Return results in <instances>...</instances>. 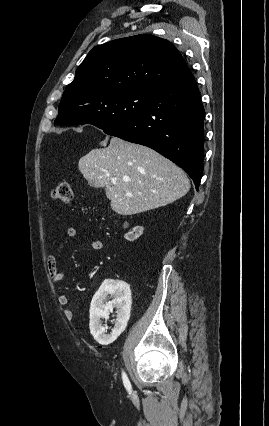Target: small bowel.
<instances>
[{
    "instance_id": "c3829d8e",
    "label": "small bowel",
    "mask_w": 269,
    "mask_h": 426,
    "mask_svg": "<svg viewBox=\"0 0 269 426\" xmlns=\"http://www.w3.org/2000/svg\"><path fill=\"white\" fill-rule=\"evenodd\" d=\"M67 235L70 238H75L77 236V229L74 228V227H69L67 229ZM90 247L93 250H101L102 247H103V243L99 239H92L90 241ZM47 267H48V273H49L50 279L53 282V284L56 287L60 286L64 277H65V273L58 269L57 260H56V257L54 255H49L48 261H47ZM58 303H59L60 306H62L65 309L64 310L65 315L67 317H70L72 315V313L68 309V306L70 304L69 297L65 294H60L58 296Z\"/></svg>"
}]
</instances>
